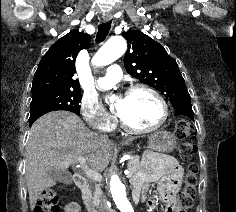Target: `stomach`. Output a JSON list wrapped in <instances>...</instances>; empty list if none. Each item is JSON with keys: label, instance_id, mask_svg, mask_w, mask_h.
<instances>
[{"label": "stomach", "instance_id": "obj_1", "mask_svg": "<svg viewBox=\"0 0 236 212\" xmlns=\"http://www.w3.org/2000/svg\"><path fill=\"white\" fill-rule=\"evenodd\" d=\"M148 147L153 151L169 153L176 147V141L170 132L158 131L149 137Z\"/></svg>", "mask_w": 236, "mask_h": 212}]
</instances>
